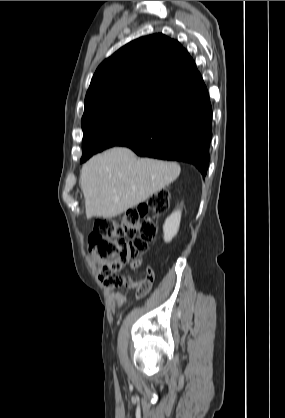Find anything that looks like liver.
Instances as JSON below:
<instances>
[{"label":"liver","mask_w":285,"mask_h":418,"mask_svg":"<svg viewBox=\"0 0 285 418\" xmlns=\"http://www.w3.org/2000/svg\"><path fill=\"white\" fill-rule=\"evenodd\" d=\"M181 168L175 162L138 158L115 147L93 156L80 175L86 217H115L173 182Z\"/></svg>","instance_id":"1"}]
</instances>
